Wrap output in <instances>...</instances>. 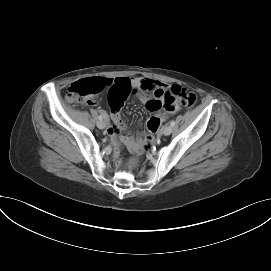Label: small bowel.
Returning a JSON list of instances; mask_svg holds the SVG:
<instances>
[{"instance_id": "c3829d8e", "label": "small bowel", "mask_w": 271, "mask_h": 271, "mask_svg": "<svg viewBox=\"0 0 271 271\" xmlns=\"http://www.w3.org/2000/svg\"><path fill=\"white\" fill-rule=\"evenodd\" d=\"M107 81L104 93L105 98L109 102L111 108L112 124L108 127L107 132L114 142H117L118 135L126 131V125L121 118L122 103L133 96L138 95L139 100L146 108L155 114V118L163 119L165 113L163 108L168 113H175L178 106L174 105L167 109L163 106V101L159 94L170 88L171 85L165 84L158 80L143 79V78H106ZM152 91L154 98H151L147 93L140 91ZM122 142L132 145L134 142L133 136L127 133L121 138Z\"/></svg>"}]
</instances>
